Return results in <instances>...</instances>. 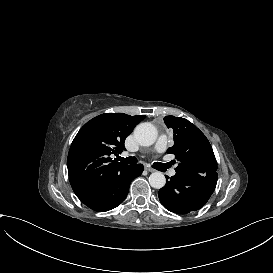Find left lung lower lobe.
<instances>
[{
    "label": "left lung lower lobe",
    "mask_w": 273,
    "mask_h": 273,
    "mask_svg": "<svg viewBox=\"0 0 273 273\" xmlns=\"http://www.w3.org/2000/svg\"><path fill=\"white\" fill-rule=\"evenodd\" d=\"M218 175L176 172L158 192L161 204L169 211L187 214L203 207L215 190Z\"/></svg>",
    "instance_id": "obj_1"
}]
</instances>
